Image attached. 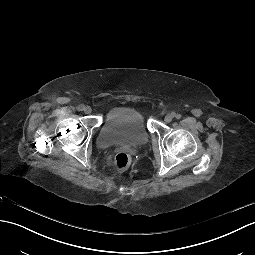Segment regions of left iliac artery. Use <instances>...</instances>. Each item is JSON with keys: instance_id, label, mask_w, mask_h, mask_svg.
<instances>
[{"instance_id": "left-iliac-artery-1", "label": "left iliac artery", "mask_w": 255, "mask_h": 255, "mask_svg": "<svg viewBox=\"0 0 255 255\" xmlns=\"http://www.w3.org/2000/svg\"><path fill=\"white\" fill-rule=\"evenodd\" d=\"M174 117H175L176 119H180V118H181V115H180V114H175Z\"/></svg>"}]
</instances>
